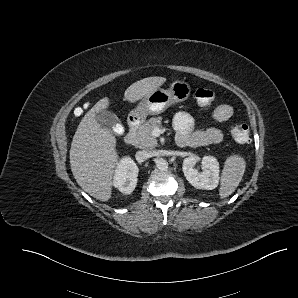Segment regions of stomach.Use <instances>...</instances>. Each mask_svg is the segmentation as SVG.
<instances>
[{
	"label": "stomach",
	"mask_w": 298,
	"mask_h": 298,
	"mask_svg": "<svg viewBox=\"0 0 298 298\" xmlns=\"http://www.w3.org/2000/svg\"><path fill=\"white\" fill-rule=\"evenodd\" d=\"M189 94V85L184 82H173L169 89L158 87L138 102L131 115L144 121L147 116L161 114L171 104L184 101Z\"/></svg>",
	"instance_id": "stomach-1"
}]
</instances>
